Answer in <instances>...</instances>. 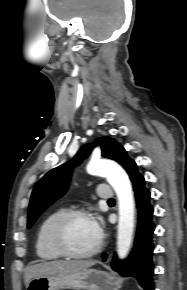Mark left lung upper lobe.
<instances>
[{
	"instance_id": "left-lung-upper-lobe-1",
	"label": "left lung upper lobe",
	"mask_w": 187,
	"mask_h": 290,
	"mask_svg": "<svg viewBox=\"0 0 187 290\" xmlns=\"http://www.w3.org/2000/svg\"><path fill=\"white\" fill-rule=\"evenodd\" d=\"M97 145L101 147L103 157L115 160L124 167L132 182L140 176L136 163L127 156L124 148L116 140L109 137L97 138L94 143L82 146L71 163L54 168L36 184L28 208L27 227H31L39 215L66 192L72 168L80 164Z\"/></svg>"
}]
</instances>
